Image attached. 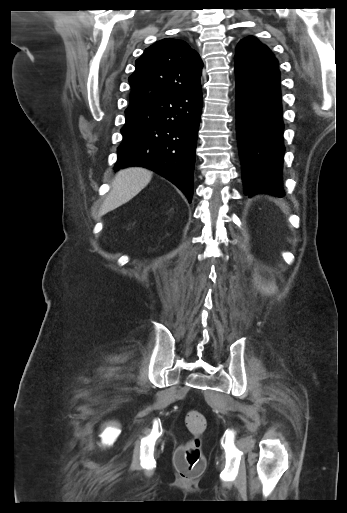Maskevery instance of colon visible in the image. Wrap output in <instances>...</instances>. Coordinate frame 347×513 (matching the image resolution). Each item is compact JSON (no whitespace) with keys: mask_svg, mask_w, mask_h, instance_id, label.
<instances>
[{"mask_svg":"<svg viewBox=\"0 0 347 513\" xmlns=\"http://www.w3.org/2000/svg\"><path fill=\"white\" fill-rule=\"evenodd\" d=\"M185 424L192 438L184 444L175 458L178 472L184 478L191 479L200 475L205 466L202 453V435L206 430V418L196 410L185 415Z\"/></svg>","mask_w":347,"mask_h":513,"instance_id":"5ec220e1","label":"colon"}]
</instances>
